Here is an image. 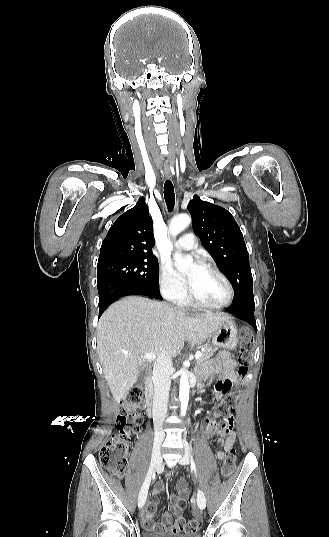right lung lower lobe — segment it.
Instances as JSON below:
<instances>
[{"mask_svg": "<svg viewBox=\"0 0 329 537\" xmlns=\"http://www.w3.org/2000/svg\"><path fill=\"white\" fill-rule=\"evenodd\" d=\"M97 287L99 292V316L109 304L123 296L144 295L162 299L159 289L116 279H101L97 281Z\"/></svg>", "mask_w": 329, "mask_h": 537, "instance_id": "obj_1", "label": "right lung lower lobe"}]
</instances>
